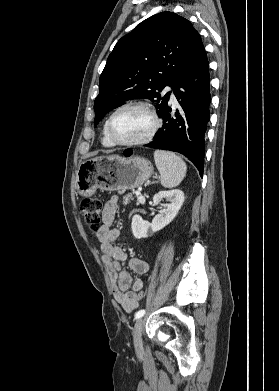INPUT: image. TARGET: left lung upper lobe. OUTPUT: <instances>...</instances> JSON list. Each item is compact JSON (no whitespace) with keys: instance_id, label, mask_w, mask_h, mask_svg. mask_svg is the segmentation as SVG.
<instances>
[{"instance_id":"5c2ea615","label":"left lung upper lobe","mask_w":279,"mask_h":391,"mask_svg":"<svg viewBox=\"0 0 279 391\" xmlns=\"http://www.w3.org/2000/svg\"><path fill=\"white\" fill-rule=\"evenodd\" d=\"M203 48L192 24L175 13L162 12L141 22L117 42L107 59L94 103V125L130 99H150L160 116L170 96L160 92L176 86Z\"/></svg>"}]
</instances>
